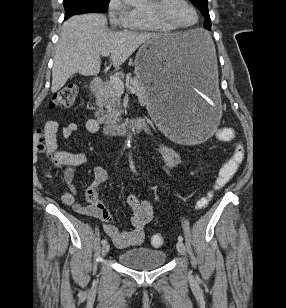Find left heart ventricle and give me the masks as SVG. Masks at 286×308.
<instances>
[{"instance_id": "b2bd125f", "label": "left heart ventricle", "mask_w": 286, "mask_h": 308, "mask_svg": "<svg viewBox=\"0 0 286 308\" xmlns=\"http://www.w3.org/2000/svg\"><path fill=\"white\" fill-rule=\"evenodd\" d=\"M153 5L154 2L147 10L152 9ZM165 12L170 20L179 25H191L196 19L194 11L183 0H170Z\"/></svg>"}]
</instances>
